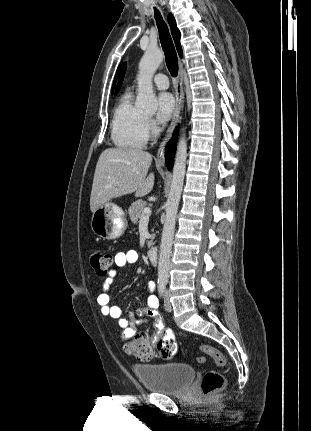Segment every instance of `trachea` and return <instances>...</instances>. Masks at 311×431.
<instances>
[{
	"label": "trachea",
	"mask_w": 311,
	"mask_h": 431,
	"mask_svg": "<svg viewBox=\"0 0 311 431\" xmlns=\"http://www.w3.org/2000/svg\"><path fill=\"white\" fill-rule=\"evenodd\" d=\"M155 19L159 31L161 46L165 54L167 68L173 77L178 75V58L168 27L163 21L160 12L155 9Z\"/></svg>",
	"instance_id": "obj_1"
}]
</instances>
